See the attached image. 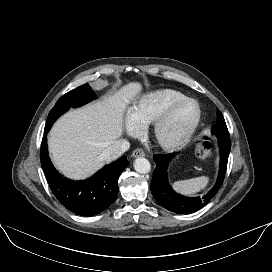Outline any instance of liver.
Listing matches in <instances>:
<instances>
[{"instance_id": "1", "label": "liver", "mask_w": 272, "mask_h": 272, "mask_svg": "<svg viewBox=\"0 0 272 272\" xmlns=\"http://www.w3.org/2000/svg\"><path fill=\"white\" fill-rule=\"evenodd\" d=\"M138 82L113 95L64 114L54 124L48 146L56 168L72 179L91 176L104 164L102 153L123 133L126 106L141 92Z\"/></svg>"}]
</instances>
